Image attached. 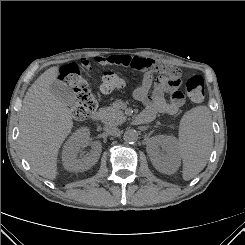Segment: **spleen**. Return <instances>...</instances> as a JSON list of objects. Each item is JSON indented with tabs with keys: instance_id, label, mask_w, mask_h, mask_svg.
Masks as SVG:
<instances>
[{
	"instance_id": "3e777b00",
	"label": "spleen",
	"mask_w": 245,
	"mask_h": 245,
	"mask_svg": "<svg viewBox=\"0 0 245 245\" xmlns=\"http://www.w3.org/2000/svg\"><path fill=\"white\" fill-rule=\"evenodd\" d=\"M213 145L211 112L206 106L187 111L179 126V152L183 179L190 180L206 166Z\"/></svg>"
}]
</instances>
